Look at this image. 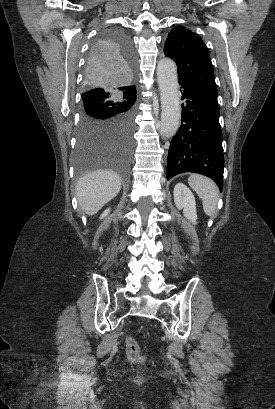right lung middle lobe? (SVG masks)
Wrapping results in <instances>:
<instances>
[{
	"label": "right lung middle lobe",
	"instance_id": "dd1d6c3e",
	"mask_svg": "<svg viewBox=\"0 0 275 409\" xmlns=\"http://www.w3.org/2000/svg\"><path fill=\"white\" fill-rule=\"evenodd\" d=\"M119 24H108L92 42L81 94L80 124L74 151L80 182L92 167L110 168L128 181L127 167L134 149L135 96L122 92L132 84L135 51ZM125 187V184H122Z\"/></svg>",
	"mask_w": 275,
	"mask_h": 409
}]
</instances>
